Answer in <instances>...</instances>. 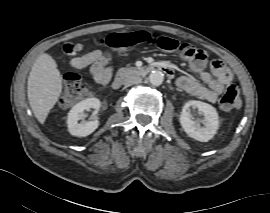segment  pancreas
<instances>
[{
    "mask_svg": "<svg viewBox=\"0 0 270 213\" xmlns=\"http://www.w3.org/2000/svg\"><path fill=\"white\" fill-rule=\"evenodd\" d=\"M133 72H135V69H133V68H121L120 70H119V74H125V73H133Z\"/></svg>",
    "mask_w": 270,
    "mask_h": 213,
    "instance_id": "1",
    "label": "pancreas"
}]
</instances>
